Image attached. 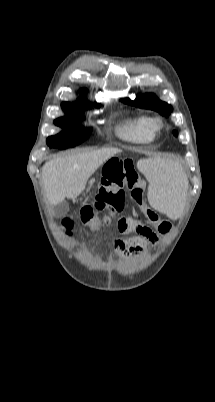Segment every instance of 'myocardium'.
I'll return each instance as SVG.
<instances>
[{"mask_svg":"<svg viewBox=\"0 0 215 402\" xmlns=\"http://www.w3.org/2000/svg\"><path fill=\"white\" fill-rule=\"evenodd\" d=\"M151 121H152V125H153L155 130H158V129L162 128L163 120H162L161 117L152 118Z\"/></svg>","mask_w":215,"mask_h":402,"instance_id":"1","label":"myocardium"}]
</instances>
